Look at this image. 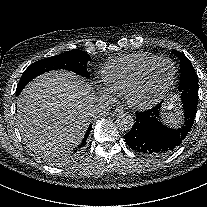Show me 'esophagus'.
Listing matches in <instances>:
<instances>
[{
  "instance_id": "34e87169",
  "label": "esophagus",
  "mask_w": 207,
  "mask_h": 207,
  "mask_svg": "<svg viewBox=\"0 0 207 207\" xmlns=\"http://www.w3.org/2000/svg\"><path fill=\"white\" fill-rule=\"evenodd\" d=\"M123 114V110L121 108H116L112 111L113 116H119Z\"/></svg>"
}]
</instances>
